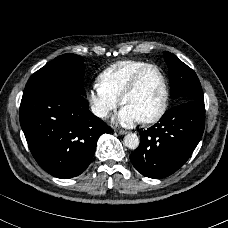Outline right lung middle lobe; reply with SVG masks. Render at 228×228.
I'll list each match as a JSON object with an SVG mask.
<instances>
[{"label":"right lung middle lobe","mask_w":228,"mask_h":228,"mask_svg":"<svg viewBox=\"0 0 228 228\" xmlns=\"http://www.w3.org/2000/svg\"><path fill=\"white\" fill-rule=\"evenodd\" d=\"M84 59L75 54H64L35 72L28 80L26 87L46 83L61 84L70 87L74 92L85 96L83 78Z\"/></svg>","instance_id":"dd1d6c3e"}]
</instances>
